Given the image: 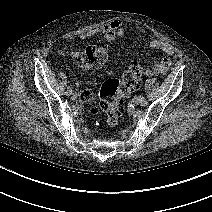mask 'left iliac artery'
<instances>
[{
  "instance_id": "obj_1",
  "label": "left iliac artery",
  "mask_w": 212,
  "mask_h": 212,
  "mask_svg": "<svg viewBox=\"0 0 212 212\" xmlns=\"http://www.w3.org/2000/svg\"><path fill=\"white\" fill-rule=\"evenodd\" d=\"M148 105V100L144 97H142V106H147Z\"/></svg>"
}]
</instances>
